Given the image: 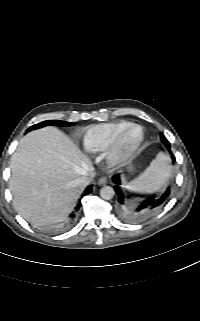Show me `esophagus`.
Masks as SVG:
<instances>
[{
	"mask_svg": "<svg viewBox=\"0 0 200 321\" xmlns=\"http://www.w3.org/2000/svg\"><path fill=\"white\" fill-rule=\"evenodd\" d=\"M98 184L100 186H103L105 184H107V178L106 177H101L99 180H98Z\"/></svg>",
	"mask_w": 200,
	"mask_h": 321,
	"instance_id": "esophagus-1",
	"label": "esophagus"
}]
</instances>
